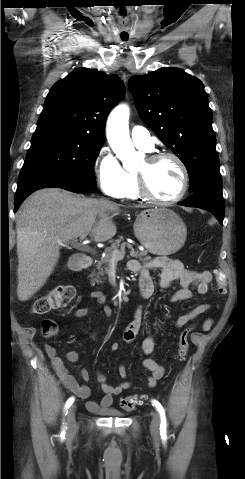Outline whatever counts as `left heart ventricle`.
Returning a JSON list of instances; mask_svg holds the SVG:
<instances>
[{
    "label": "left heart ventricle",
    "mask_w": 245,
    "mask_h": 479,
    "mask_svg": "<svg viewBox=\"0 0 245 479\" xmlns=\"http://www.w3.org/2000/svg\"><path fill=\"white\" fill-rule=\"evenodd\" d=\"M147 168L146 160L139 171ZM148 185L151 192L160 199L168 200L176 196L181 188L182 175L179 166L166 158L147 169Z\"/></svg>",
    "instance_id": "left-heart-ventricle-1"
}]
</instances>
